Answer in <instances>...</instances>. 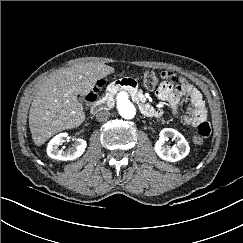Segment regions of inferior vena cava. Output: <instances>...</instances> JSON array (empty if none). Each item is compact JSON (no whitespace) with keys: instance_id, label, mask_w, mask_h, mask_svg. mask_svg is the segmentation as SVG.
<instances>
[{"instance_id":"602c4592","label":"inferior vena cava","mask_w":243,"mask_h":243,"mask_svg":"<svg viewBox=\"0 0 243 243\" xmlns=\"http://www.w3.org/2000/svg\"><path fill=\"white\" fill-rule=\"evenodd\" d=\"M110 117V112L107 109L99 110L96 114V119L99 122L107 121Z\"/></svg>"}]
</instances>
